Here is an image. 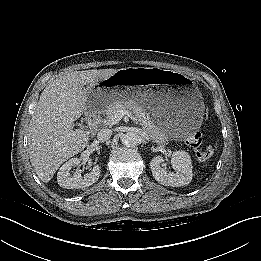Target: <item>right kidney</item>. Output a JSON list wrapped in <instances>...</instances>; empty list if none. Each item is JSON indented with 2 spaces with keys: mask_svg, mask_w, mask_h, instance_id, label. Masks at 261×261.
Wrapping results in <instances>:
<instances>
[{
  "mask_svg": "<svg viewBox=\"0 0 261 261\" xmlns=\"http://www.w3.org/2000/svg\"><path fill=\"white\" fill-rule=\"evenodd\" d=\"M79 164V158H71L60 167L57 173V182L60 187L67 189L86 188L93 185L99 179L101 172L99 165H94L92 170L84 176L81 175L82 170L79 168L71 175L70 170Z\"/></svg>",
  "mask_w": 261,
  "mask_h": 261,
  "instance_id": "right-kidney-1",
  "label": "right kidney"
}]
</instances>
